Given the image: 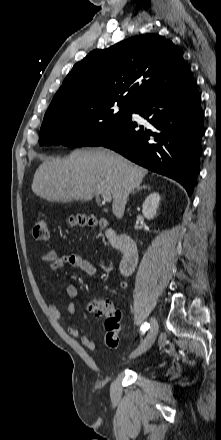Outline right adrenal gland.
<instances>
[{
  "label": "right adrenal gland",
  "instance_id": "2a0ac1e0",
  "mask_svg": "<svg viewBox=\"0 0 221 440\" xmlns=\"http://www.w3.org/2000/svg\"><path fill=\"white\" fill-rule=\"evenodd\" d=\"M141 189H150V186H149V185H141V186H138V187L136 188V190L133 191L132 193L134 194L136 191H139V190H141Z\"/></svg>",
  "mask_w": 221,
  "mask_h": 440
}]
</instances>
